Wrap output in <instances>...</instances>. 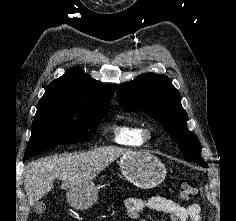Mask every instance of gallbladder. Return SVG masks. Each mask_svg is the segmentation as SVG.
Instances as JSON below:
<instances>
[{
	"mask_svg": "<svg viewBox=\"0 0 236 221\" xmlns=\"http://www.w3.org/2000/svg\"><path fill=\"white\" fill-rule=\"evenodd\" d=\"M34 210L37 214H41L43 213V211L45 210V204L41 201H37L34 204Z\"/></svg>",
	"mask_w": 236,
	"mask_h": 221,
	"instance_id": "obj_1",
	"label": "gallbladder"
}]
</instances>
